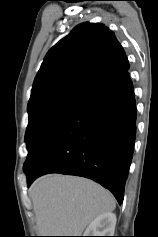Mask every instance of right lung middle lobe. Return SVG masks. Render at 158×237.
Instances as JSON below:
<instances>
[{
    "mask_svg": "<svg viewBox=\"0 0 158 237\" xmlns=\"http://www.w3.org/2000/svg\"><path fill=\"white\" fill-rule=\"evenodd\" d=\"M83 102L73 97L62 96L49 98L28 107V126L25 135L28 156L24 170L43 140Z\"/></svg>",
    "mask_w": 158,
    "mask_h": 237,
    "instance_id": "1",
    "label": "right lung middle lobe"
}]
</instances>
